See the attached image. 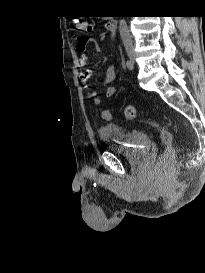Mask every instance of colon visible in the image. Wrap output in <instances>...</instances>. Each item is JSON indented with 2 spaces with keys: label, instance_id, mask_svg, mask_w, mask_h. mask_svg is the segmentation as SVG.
Masks as SVG:
<instances>
[{
  "label": "colon",
  "instance_id": "1",
  "mask_svg": "<svg viewBox=\"0 0 205 273\" xmlns=\"http://www.w3.org/2000/svg\"><path fill=\"white\" fill-rule=\"evenodd\" d=\"M74 28L78 32H83L91 29L90 23L82 17H76L74 19ZM104 117L105 119H108L110 117V114L108 110H104ZM125 117L130 120H136L137 118V113H136V108L133 105H127L125 108ZM145 124H148L154 128H156L161 135V139L163 143L166 145V149L162 155V159L160 160L158 164V170L162 174H167L170 173L175 165L176 162V150L174 146L172 145L173 141V136L172 133L159 124L155 120H144L143 121Z\"/></svg>",
  "mask_w": 205,
  "mask_h": 273
}]
</instances>
